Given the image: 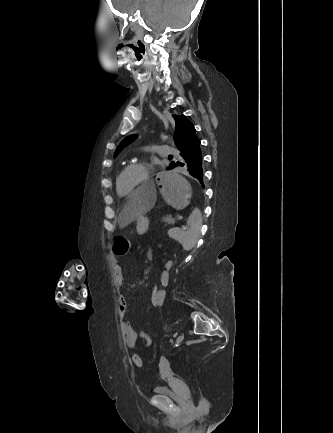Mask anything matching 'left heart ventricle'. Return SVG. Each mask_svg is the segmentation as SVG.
<instances>
[{"label":"left heart ventricle","mask_w":333,"mask_h":433,"mask_svg":"<svg viewBox=\"0 0 333 433\" xmlns=\"http://www.w3.org/2000/svg\"><path fill=\"white\" fill-rule=\"evenodd\" d=\"M142 176V171L140 169H132L125 173L120 179V191L122 193H127L135 186V184L140 180Z\"/></svg>","instance_id":"b2bd125f"}]
</instances>
